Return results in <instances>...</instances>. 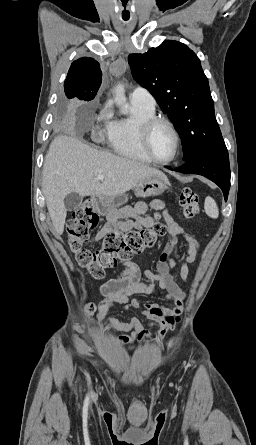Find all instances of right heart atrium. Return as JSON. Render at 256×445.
<instances>
[{
    "mask_svg": "<svg viewBox=\"0 0 256 445\" xmlns=\"http://www.w3.org/2000/svg\"><path fill=\"white\" fill-rule=\"evenodd\" d=\"M97 123L99 125L95 128L93 137L97 140H101L108 135L112 124L108 106L103 107V109L98 114Z\"/></svg>",
    "mask_w": 256,
    "mask_h": 445,
    "instance_id": "1",
    "label": "right heart atrium"
}]
</instances>
